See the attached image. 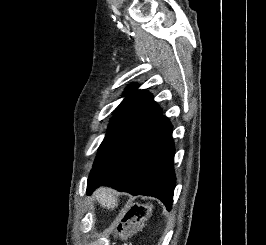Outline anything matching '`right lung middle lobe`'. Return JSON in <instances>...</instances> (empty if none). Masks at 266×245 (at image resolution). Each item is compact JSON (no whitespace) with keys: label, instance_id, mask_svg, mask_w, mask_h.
Returning <instances> with one entry per match:
<instances>
[{"label":"right lung middle lobe","instance_id":"dd1d6c3e","mask_svg":"<svg viewBox=\"0 0 266 245\" xmlns=\"http://www.w3.org/2000/svg\"><path fill=\"white\" fill-rule=\"evenodd\" d=\"M146 122L138 120H119L112 118L104 141L99 147L94 165L117 148L130 135L137 131Z\"/></svg>","mask_w":266,"mask_h":245}]
</instances>
